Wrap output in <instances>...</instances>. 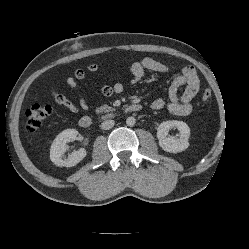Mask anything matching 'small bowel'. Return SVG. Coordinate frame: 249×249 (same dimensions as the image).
Instances as JSON below:
<instances>
[{
    "label": "small bowel",
    "instance_id": "c3829d8e",
    "mask_svg": "<svg viewBox=\"0 0 249 249\" xmlns=\"http://www.w3.org/2000/svg\"><path fill=\"white\" fill-rule=\"evenodd\" d=\"M90 72H97L101 69L100 64L91 63L87 67ZM131 72V82L137 83L145 76V71L150 70L159 73L170 72L169 66L154 60L152 58H144L140 61L134 62L129 66ZM87 79L85 70L79 68L74 71L73 76L66 78V83L72 89L78 91V104H75L64 94L58 92L55 88H51L50 93L56 103L66 107L73 113H78L81 109L88 110L89 104L81 91H79L78 81ZM185 86L184 91L179 94V89ZM200 80L194 67L186 66L182 69L181 73L176 76L170 84L168 90V103L162 98L154 99L150 107L153 110H162L165 107L178 116H188L192 113L193 107L191 104L192 99L199 91ZM124 90V85L121 82H116L112 85H103L100 88L102 95L110 97L114 94H120Z\"/></svg>",
    "mask_w": 249,
    "mask_h": 249
}]
</instances>
